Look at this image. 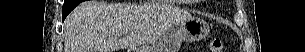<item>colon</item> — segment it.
Wrapping results in <instances>:
<instances>
[{"mask_svg": "<svg viewBox=\"0 0 305 52\" xmlns=\"http://www.w3.org/2000/svg\"><path fill=\"white\" fill-rule=\"evenodd\" d=\"M210 50L212 52H223L224 44L223 41L219 38H215L210 42Z\"/></svg>", "mask_w": 305, "mask_h": 52, "instance_id": "obj_1", "label": "colon"}]
</instances>
